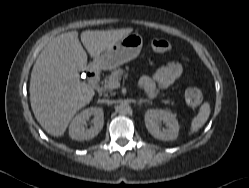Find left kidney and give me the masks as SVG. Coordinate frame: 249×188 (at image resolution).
Returning <instances> with one entry per match:
<instances>
[{"label":"left kidney","instance_id":"left-kidney-1","mask_svg":"<svg viewBox=\"0 0 249 188\" xmlns=\"http://www.w3.org/2000/svg\"><path fill=\"white\" fill-rule=\"evenodd\" d=\"M145 125L150 134L164 141L175 140L179 133V124L176 116L166 110L149 109L145 113ZM166 125V129H160V123Z\"/></svg>","mask_w":249,"mask_h":188}]
</instances>
